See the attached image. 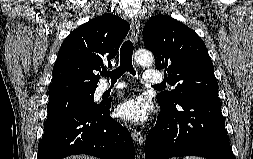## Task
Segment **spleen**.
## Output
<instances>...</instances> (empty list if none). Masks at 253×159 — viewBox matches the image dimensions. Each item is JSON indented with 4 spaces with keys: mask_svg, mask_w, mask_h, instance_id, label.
<instances>
[{
    "mask_svg": "<svg viewBox=\"0 0 253 159\" xmlns=\"http://www.w3.org/2000/svg\"><path fill=\"white\" fill-rule=\"evenodd\" d=\"M184 159H203V158L198 157V156H187Z\"/></svg>",
    "mask_w": 253,
    "mask_h": 159,
    "instance_id": "spleen-1",
    "label": "spleen"
}]
</instances>
